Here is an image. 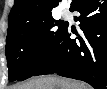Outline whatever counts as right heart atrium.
<instances>
[{"label":"right heart atrium","mask_w":107,"mask_h":89,"mask_svg":"<svg viewBox=\"0 0 107 89\" xmlns=\"http://www.w3.org/2000/svg\"><path fill=\"white\" fill-rule=\"evenodd\" d=\"M33 50L35 53H39L41 51V45L39 42H35L33 45Z\"/></svg>","instance_id":"obj_1"}]
</instances>
